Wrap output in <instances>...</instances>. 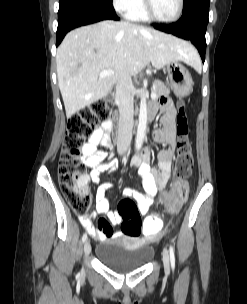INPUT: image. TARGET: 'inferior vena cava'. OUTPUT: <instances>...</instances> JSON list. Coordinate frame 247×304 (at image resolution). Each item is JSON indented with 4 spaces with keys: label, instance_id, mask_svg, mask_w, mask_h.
<instances>
[{
    "label": "inferior vena cava",
    "instance_id": "1",
    "mask_svg": "<svg viewBox=\"0 0 247 304\" xmlns=\"http://www.w3.org/2000/svg\"><path fill=\"white\" fill-rule=\"evenodd\" d=\"M115 101L119 107L117 151L122 155L130 146L133 129L134 87L126 72L117 77Z\"/></svg>",
    "mask_w": 247,
    "mask_h": 304
}]
</instances>
